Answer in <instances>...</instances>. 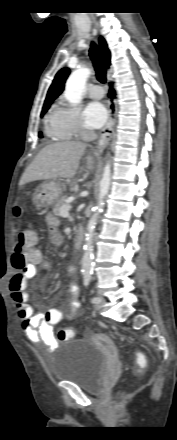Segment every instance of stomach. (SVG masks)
I'll return each mask as SVG.
<instances>
[{"label": "stomach", "mask_w": 177, "mask_h": 440, "mask_svg": "<svg viewBox=\"0 0 177 440\" xmlns=\"http://www.w3.org/2000/svg\"><path fill=\"white\" fill-rule=\"evenodd\" d=\"M62 185L59 180H51L40 185L33 194V204L36 208L52 207L59 199Z\"/></svg>", "instance_id": "stomach-1"}]
</instances>
